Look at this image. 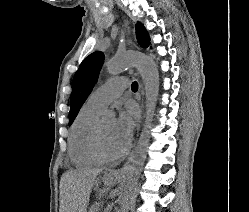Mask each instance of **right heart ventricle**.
<instances>
[{
	"label": "right heart ventricle",
	"mask_w": 249,
	"mask_h": 212,
	"mask_svg": "<svg viewBox=\"0 0 249 212\" xmlns=\"http://www.w3.org/2000/svg\"><path fill=\"white\" fill-rule=\"evenodd\" d=\"M101 112V109L86 101L74 118L68 139V154L77 167H90L100 163L92 151L90 138Z\"/></svg>",
	"instance_id": "right-heart-ventricle-1"
}]
</instances>
